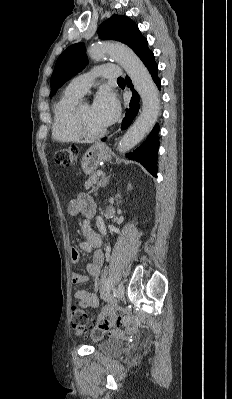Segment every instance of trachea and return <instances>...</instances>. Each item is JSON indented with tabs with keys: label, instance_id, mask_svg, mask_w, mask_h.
Masks as SVG:
<instances>
[{
	"label": "trachea",
	"instance_id": "obj_1",
	"mask_svg": "<svg viewBox=\"0 0 232 399\" xmlns=\"http://www.w3.org/2000/svg\"><path fill=\"white\" fill-rule=\"evenodd\" d=\"M117 80H124V78H122V77H119Z\"/></svg>",
	"mask_w": 232,
	"mask_h": 399
}]
</instances>
